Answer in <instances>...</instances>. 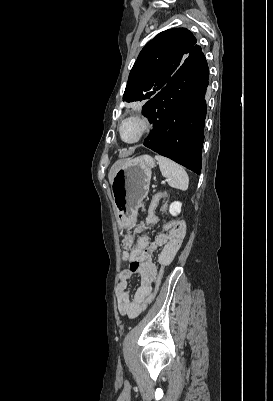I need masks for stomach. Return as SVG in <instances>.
<instances>
[{"label":"stomach","mask_w":273,"mask_h":401,"mask_svg":"<svg viewBox=\"0 0 273 401\" xmlns=\"http://www.w3.org/2000/svg\"><path fill=\"white\" fill-rule=\"evenodd\" d=\"M155 160L142 154L135 160H127L117 170L111 190L116 209L118 229H133L137 223L138 209L146 198L151 180V168Z\"/></svg>","instance_id":"stomach-1"}]
</instances>
